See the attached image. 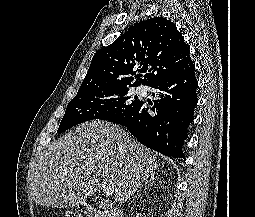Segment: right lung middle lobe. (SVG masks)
<instances>
[{
  "mask_svg": "<svg viewBox=\"0 0 255 217\" xmlns=\"http://www.w3.org/2000/svg\"><path fill=\"white\" fill-rule=\"evenodd\" d=\"M140 102L137 96L130 94V87L78 92L67 105L57 132H64L88 120L111 121L129 113Z\"/></svg>",
  "mask_w": 255,
  "mask_h": 217,
  "instance_id": "right-lung-middle-lobe-1",
  "label": "right lung middle lobe"
}]
</instances>
